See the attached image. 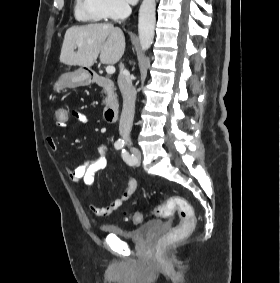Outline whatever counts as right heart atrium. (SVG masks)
<instances>
[{
  "mask_svg": "<svg viewBox=\"0 0 280 283\" xmlns=\"http://www.w3.org/2000/svg\"><path fill=\"white\" fill-rule=\"evenodd\" d=\"M94 14L103 20H116L129 13L126 0H90Z\"/></svg>",
  "mask_w": 280,
  "mask_h": 283,
  "instance_id": "right-heart-atrium-1",
  "label": "right heart atrium"
}]
</instances>
